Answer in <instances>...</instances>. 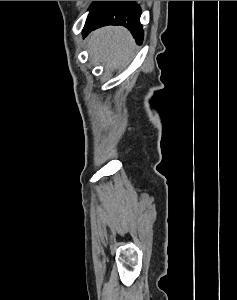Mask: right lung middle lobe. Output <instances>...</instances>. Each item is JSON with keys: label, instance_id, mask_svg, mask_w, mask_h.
<instances>
[{"label": "right lung middle lobe", "instance_id": "right-lung-middle-lobe-1", "mask_svg": "<svg viewBox=\"0 0 237 300\" xmlns=\"http://www.w3.org/2000/svg\"><path fill=\"white\" fill-rule=\"evenodd\" d=\"M115 3L116 1H94L90 7L85 27L98 21Z\"/></svg>", "mask_w": 237, "mask_h": 300}]
</instances>
